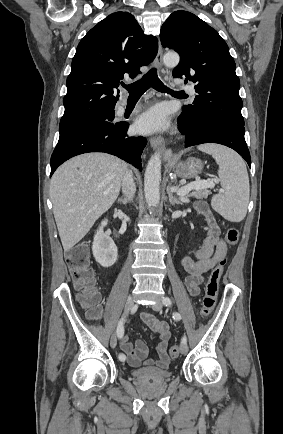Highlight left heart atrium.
<instances>
[{
    "label": "left heart atrium",
    "mask_w": 283,
    "mask_h": 434,
    "mask_svg": "<svg viewBox=\"0 0 283 434\" xmlns=\"http://www.w3.org/2000/svg\"><path fill=\"white\" fill-rule=\"evenodd\" d=\"M170 116L168 108L158 104L144 112L136 122V130L141 133H152L169 127Z\"/></svg>",
    "instance_id": "obj_1"
}]
</instances>
